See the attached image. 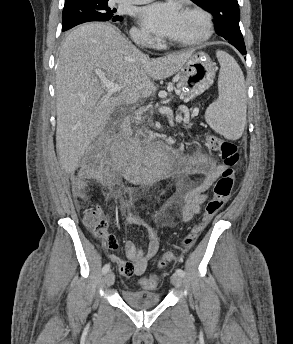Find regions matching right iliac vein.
Returning a JSON list of instances; mask_svg holds the SVG:
<instances>
[{"mask_svg": "<svg viewBox=\"0 0 293 344\" xmlns=\"http://www.w3.org/2000/svg\"><path fill=\"white\" fill-rule=\"evenodd\" d=\"M115 282V275L112 271H109L105 276V284L107 287H110Z\"/></svg>", "mask_w": 293, "mask_h": 344, "instance_id": "right-iliac-vein-1", "label": "right iliac vein"}]
</instances>
